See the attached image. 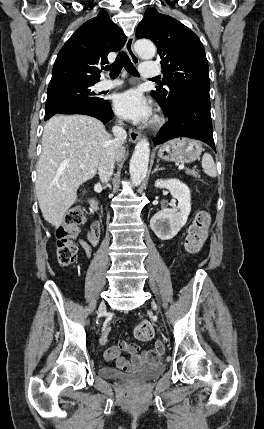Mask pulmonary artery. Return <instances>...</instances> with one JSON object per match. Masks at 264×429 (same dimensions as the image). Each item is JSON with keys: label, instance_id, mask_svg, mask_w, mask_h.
Wrapping results in <instances>:
<instances>
[{"label": "pulmonary artery", "instance_id": "pulmonary-artery-1", "mask_svg": "<svg viewBox=\"0 0 264 429\" xmlns=\"http://www.w3.org/2000/svg\"><path fill=\"white\" fill-rule=\"evenodd\" d=\"M140 72L144 78H149V79L155 78L161 73L159 66L155 62H151V61L144 62L140 66ZM120 84H121L120 81L102 80L98 84V89L109 90L119 86Z\"/></svg>", "mask_w": 264, "mask_h": 429}]
</instances>
